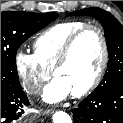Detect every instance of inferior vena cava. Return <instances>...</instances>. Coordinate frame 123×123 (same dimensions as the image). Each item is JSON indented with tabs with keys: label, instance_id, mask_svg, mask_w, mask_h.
<instances>
[{
	"label": "inferior vena cava",
	"instance_id": "602c4592",
	"mask_svg": "<svg viewBox=\"0 0 123 123\" xmlns=\"http://www.w3.org/2000/svg\"><path fill=\"white\" fill-rule=\"evenodd\" d=\"M39 91H40V88L39 87H32L29 90V92H31V93H38Z\"/></svg>",
	"mask_w": 123,
	"mask_h": 123
}]
</instances>
